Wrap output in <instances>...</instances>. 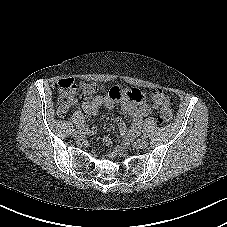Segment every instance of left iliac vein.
I'll return each instance as SVG.
<instances>
[{
    "instance_id": "4c4485c4",
    "label": "left iliac vein",
    "mask_w": 227,
    "mask_h": 227,
    "mask_svg": "<svg viewBox=\"0 0 227 227\" xmlns=\"http://www.w3.org/2000/svg\"><path fill=\"white\" fill-rule=\"evenodd\" d=\"M136 147L139 149H144L146 147H148V141L144 138L139 139L136 143H135Z\"/></svg>"
}]
</instances>
